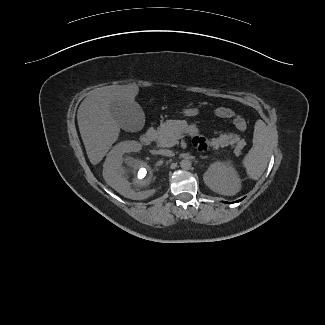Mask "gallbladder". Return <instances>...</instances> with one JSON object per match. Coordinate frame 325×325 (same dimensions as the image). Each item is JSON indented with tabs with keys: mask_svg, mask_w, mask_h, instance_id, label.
I'll return each mask as SVG.
<instances>
[{
	"mask_svg": "<svg viewBox=\"0 0 325 325\" xmlns=\"http://www.w3.org/2000/svg\"><path fill=\"white\" fill-rule=\"evenodd\" d=\"M110 112L119 126L126 131L136 132L144 126V112L136 102L114 101L110 105Z\"/></svg>",
	"mask_w": 325,
	"mask_h": 325,
	"instance_id": "1",
	"label": "gallbladder"
}]
</instances>
